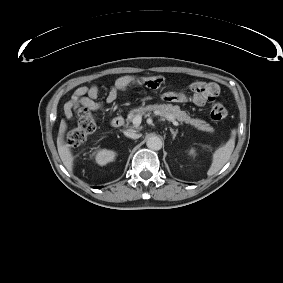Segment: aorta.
<instances>
[{
	"mask_svg": "<svg viewBox=\"0 0 283 283\" xmlns=\"http://www.w3.org/2000/svg\"><path fill=\"white\" fill-rule=\"evenodd\" d=\"M146 145L149 149L158 151L162 148V140L158 136L152 135L148 137Z\"/></svg>",
	"mask_w": 283,
	"mask_h": 283,
	"instance_id": "obj_1",
	"label": "aorta"
}]
</instances>
